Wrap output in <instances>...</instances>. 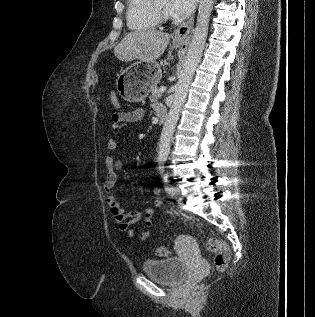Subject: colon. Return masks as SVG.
<instances>
[{"instance_id": "5ec220e1", "label": "colon", "mask_w": 315, "mask_h": 317, "mask_svg": "<svg viewBox=\"0 0 315 317\" xmlns=\"http://www.w3.org/2000/svg\"><path fill=\"white\" fill-rule=\"evenodd\" d=\"M112 103L115 107L119 106V101L115 95L112 96ZM207 248L210 252L214 253V264L218 270H224L230 260V249L227 244L217 238H210L207 242ZM155 254L160 257L169 254L167 246H159L155 250ZM201 290L200 286H196L192 290V294L196 295Z\"/></svg>"}]
</instances>
